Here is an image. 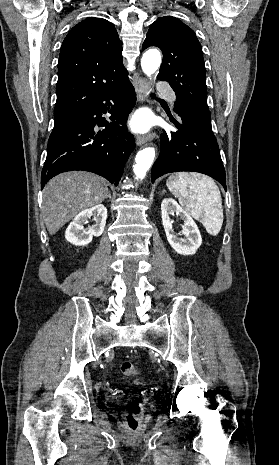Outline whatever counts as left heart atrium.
I'll return each mask as SVG.
<instances>
[{"label": "left heart atrium", "mask_w": 279, "mask_h": 465, "mask_svg": "<svg viewBox=\"0 0 279 465\" xmlns=\"http://www.w3.org/2000/svg\"><path fill=\"white\" fill-rule=\"evenodd\" d=\"M135 132H146L151 127V118L146 113H137L130 122Z\"/></svg>", "instance_id": "1"}]
</instances>
